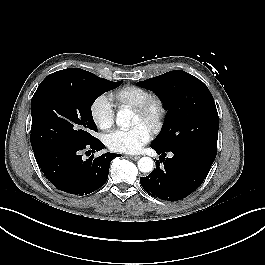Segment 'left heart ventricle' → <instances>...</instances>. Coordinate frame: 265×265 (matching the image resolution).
<instances>
[{
    "label": "left heart ventricle",
    "instance_id": "b2bd125f",
    "mask_svg": "<svg viewBox=\"0 0 265 265\" xmlns=\"http://www.w3.org/2000/svg\"><path fill=\"white\" fill-rule=\"evenodd\" d=\"M141 123H143V122H142L140 116L137 113H135L134 124L138 125V124H141Z\"/></svg>",
    "mask_w": 265,
    "mask_h": 265
}]
</instances>
